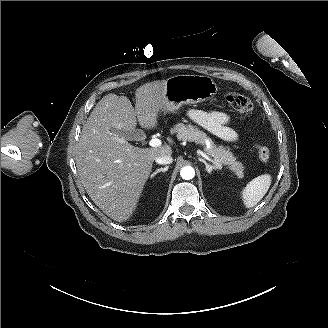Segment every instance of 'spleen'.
<instances>
[{
	"label": "spleen",
	"mask_w": 328,
	"mask_h": 328,
	"mask_svg": "<svg viewBox=\"0 0 328 328\" xmlns=\"http://www.w3.org/2000/svg\"><path fill=\"white\" fill-rule=\"evenodd\" d=\"M272 177L270 174H262L247 183L239 193V197L245 209L256 206L268 192Z\"/></svg>",
	"instance_id": "3e777b00"
}]
</instances>
